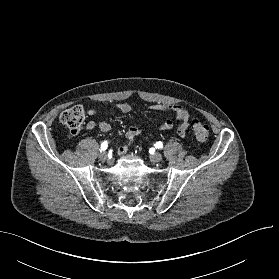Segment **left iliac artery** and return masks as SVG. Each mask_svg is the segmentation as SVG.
Segmentation results:
<instances>
[{"label": "left iliac artery", "instance_id": "left-iliac-artery-1", "mask_svg": "<svg viewBox=\"0 0 279 279\" xmlns=\"http://www.w3.org/2000/svg\"><path fill=\"white\" fill-rule=\"evenodd\" d=\"M154 146L158 149L162 148L163 147V144L162 142H157L156 144H154Z\"/></svg>", "mask_w": 279, "mask_h": 279}]
</instances>
